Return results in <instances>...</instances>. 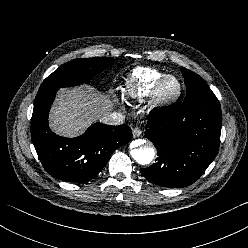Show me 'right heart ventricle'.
Segmentation results:
<instances>
[{
	"mask_svg": "<svg viewBox=\"0 0 248 248\" xmlns=\"http://www.w3.org/2000/svg\"><path fill=\"white\" fill-rule=\"evenodd\" d=\"M167 74L152 68H137L126 85V93L141 99L153 93L158 82Z\"/></svg>",
	"mask_w": 248,
	"mask_h": 248,
	"instance_id": "obj_1",
	"label": "right heart ventricle"
}]
</instances>
